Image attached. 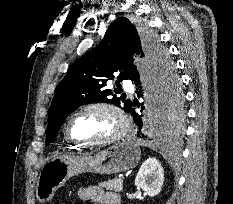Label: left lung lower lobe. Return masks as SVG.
<instances>
[{
    "instance_id": "0a47b994",
    "label": "left lung lower lobe",
    "mask_w": 233,
    "mask_h": 204,
    "mask_svg": "<svg viewBox=\"0 0 233 204\" xmlns=\"http://www.w3.org/2000/svg\"><path fill=\"white\" fill-rule=\"evenodd\" d=\"M130 80L132 82H134L136 87H137L136 92L139 93L138 97H143V95L141 94L142 86H141L140 74H139L137 68L132 73ZM159 89H160V93H161L160 85H159ZM135 106L139 107L140 105L138 103L132 102V105L128 108V110L126 112L130 113L133 116L134 122L138 127L137 136L140 138H144L145 137L144 133H143L144 130H142V129L145 125L144 124L145 121L142 118V115H139L138 113H136ZM161 106H162V104H161ZM141 108H142L141 111H143L145 109L144 106H142ZM162 114L163 113H162V107H161V119H160L159 123H156L155 129L157 130V132L155 133L154 138H153V139H156L158 141H163L166 138H168V136H169L168 134H171V133H174V132H177L178 130H180V128L176 129L173 125L166 122L165 119L163 118Z\"/></svg>"
}]
</instances>
